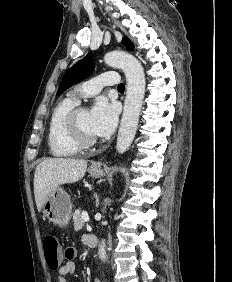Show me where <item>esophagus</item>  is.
<instances>
[{"mask_svg":"<svg viewBox=\"0 0 232 282\" xmlns=\"http://www.w3.org/2000/svg\"><path fill=\"white\" fill-rule=\"evenodd\" d=\"M93 166H94V167H97L98 165H97V164H94Z\"/></svg>","mask_w":232,"mask_h":282,"instance_id":"esophagus-1","label":"esophagus"}]
</instances>
